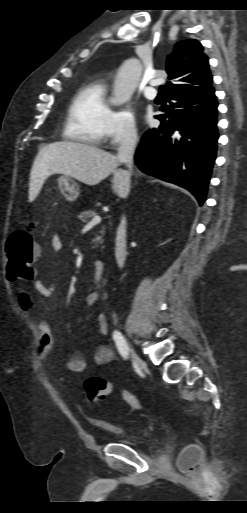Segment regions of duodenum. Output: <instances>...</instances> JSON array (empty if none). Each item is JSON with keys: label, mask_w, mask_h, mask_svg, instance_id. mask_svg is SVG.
<instances>
[{"label": "duodenum", "mask_w": 247, "mask_h": 513, "mask_svg": "<svg viewBox=\"0 0 247 513\" xmlns=\"http://www.w3.org/2000/svg\"><path fill=\"white\" fill-rule=\"evenodd\" d=\"M105 270H106L105 262L102 260L96 261L94 263V270H93V274H92L93 281L100 282L104 278Z\"/></svg>", "instance_id": "obj_1"}]
</instances>
